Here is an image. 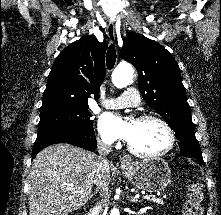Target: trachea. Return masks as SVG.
Segmentation results:
<instances>
[{
    "instance_id": "3493384b",
    "label": "trachea",
    "mask_w": 221,
    "mask_h": 215,
    "mask_svg": "<svg viewBox=\"0 0 221 215\" xmlns=\"http://www.w3.org/2000/svg\"><path fill=\"white\" fill-rule=\"evenodd\" d=\"M116 62V50L115 46L111 44L108 48L107 55H106V65L109 70H111Z\"/></svg>"
}]
</instances>
